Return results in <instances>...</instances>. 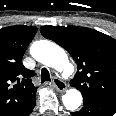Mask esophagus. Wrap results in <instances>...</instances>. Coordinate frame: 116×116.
Returning a JSON list of instances; mask_svg holds the SVG:
<instances>
[{
    "label": "esophagus",
    "mask_w": 116,
    "mask_h": 116,
    "mask_svg": "<svg viewBox=\"0 0 116 116\" xmlns=\"http://www.w3.org/2000/svg\"><path fill=\"white\" fill-rule=\"evenodd\" d=\"M53 86L59 92H63L67 89L66 83L59 78H54Z\"/></svg>",
    "instance_id": "esophagus-1"
}]
</instances>
